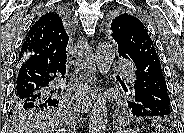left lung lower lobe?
Listing matches in <instances>:
<instances>
[{
  "label": "left lung lower lobe",
  "instance_id": "0a47b994",
  "mask_svg": "<svg viewBox=\"0 0 184 133\" xmlns=\"http://www.w3.org/2000/svg\"><path fill=\"white\" fill-rule=\"evenodd\" d=\"M136 82L132 89L134 101L128 113L136 117H169L172 107L161 66L155 60H136Z\"/></svg>",
  "mask_w": 184,
  "mask_h": 133
}]
</instances>
